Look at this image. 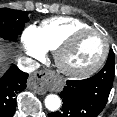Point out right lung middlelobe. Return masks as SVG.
I'll use <instances>...</instances> for the list:
<instances>
[{
    "instance_id": "1",
    "label": "right lung middle lobe",
    "mask_w": 117,
    "mask_h": 117,
    "mask_svg": "<svg viewBox=\"0 0 117 117\" xmlns=\"http://www.w3.org/2000/svg\"><path fill=\"white\" fill-rule=\"evenodd\" d=\"M28 21V12L1 8L0 38L16 41Z\"/></svg>"
}]
</instances>
